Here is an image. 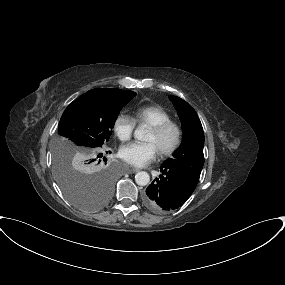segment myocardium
<instances>
[{"label":"myocardium","instance_id":"1","mask_svg":"<svg viewBox=\"0 0 285 285\" xmlns=\"http://www.w3.org/2000/svg\"><path fill=\"white\" fill-rule=\"evenodd\" d=\"M168 129H173L175 131V140L169 147L159 150V154L162 157L171 156L179 149L183 139V130L181 126L173 120L151 126V130L157 135L163 134Z\"/></svg>","mask_w":285,"mask_h":285}]
</instances>
